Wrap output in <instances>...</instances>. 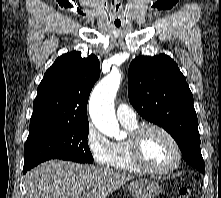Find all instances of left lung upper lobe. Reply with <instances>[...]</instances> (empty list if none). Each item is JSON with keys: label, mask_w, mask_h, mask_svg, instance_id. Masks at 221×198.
Listing matches in <instances>:
<instances>
[{"label": "left lung upper lobe", "mask_w": 221, "mask_h": 198, "mask_svg": "<svg viewBox=\"0 0 221 198\" xmlns=\"http://www.w3.org/2000/svg\"><path fill=\"white\" fill-rule=\"evenodd\" d=\"M129 101L177 142L185 161L205 172L193 95L178 65L165 54L135 58L128 71Z\"/></svg>", "instance_id": "5c2ea615"}]
</instances>
